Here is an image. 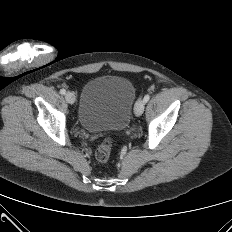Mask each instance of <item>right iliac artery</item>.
<instances>
[{"instance_id": "obj_1", "label": "right iliac artery", "mask_w": 232, "mask_h": 232, "mask_svg": "<svg viewBox=\"0 0 232 232\" xmlns=\"http://www.w3.org/2000/svg\"><path fill=\"white\" fill-rule=\"evenodd\" d=\"M60 93H61L62 95H65L66 90H65V89H61V90H60Z\"/></svg>"}]
</instances>
